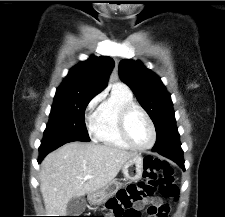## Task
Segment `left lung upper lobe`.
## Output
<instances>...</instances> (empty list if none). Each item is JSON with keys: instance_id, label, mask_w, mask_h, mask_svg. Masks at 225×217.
<instances>
[{"instance_id": "obj_1", "label": "left lung upper lobe", "mask_w": 225, "mask_h": 217, "mask_svg": "<svg viewBox=\"0 0 225 217\" xmlns=\"http://www.w3.org/2000/svg\"><path fill=\"white\" fill-rule=\"evenodd\" d=\"M119 75L155 125L157 140L153 149L179 142L171 97L160 78L141 62L128 59L120 61Z\"/></svg>"}]
</instances>
